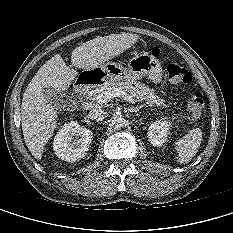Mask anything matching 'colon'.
<instances>
[{
  "label": "colon",
  "mask_w": 233,
  "mask_h": 233,
  "mask_svg": "<svg viewBox=\"0 0 233 233\" xmlns=\"http://www.w3.org/2000/svg\"><path fill=\"white\" fill-rule=\"evenodd\" d=\"M152 53L155 56H159L161 51L155 47L152 49ZM166 75L168 81L172 85L188 84L192 80L190 72L177 63H169L166 67ZM205 102L201 92H195L187 104L188 111L194 116L198 117L201 115L204 108Z\"/></svg>",
  "instance_id": "colon-1"
}]
</instances>
